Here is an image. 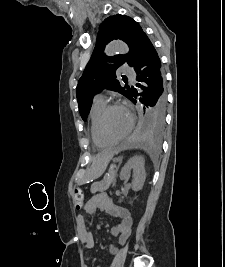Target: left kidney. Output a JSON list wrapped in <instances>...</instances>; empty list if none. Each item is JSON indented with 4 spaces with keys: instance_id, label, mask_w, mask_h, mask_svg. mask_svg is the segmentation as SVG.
<instances>
[{
    "instance_id": "5707ae66",
    "label": "left kidney",
    "mask_w": 225,
    "mask_h": 267,
    "mask_svg": "<svg viewBox=\"0 0 225 267\" xmlns=\"http://www.w3.org/2000/svg\"><path fill=\"white\" fill-rule=\"evenodd\" d=\"M144 163V158L142 156H134L133 158H130V160H128V162L121 169V180L128 179L131 171H133L134 179L132 181V189L134 191L141 190L144 185L146 177Z\"/></svg>"
}]
</instances>
